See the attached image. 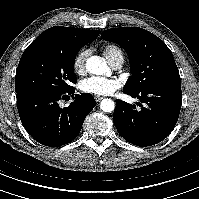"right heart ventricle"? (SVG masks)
<instances>
[{
    "label": "right heart ventricle",
    "mask_w": 199,
    "mask_h": 199,
    "mask_svg": "<svg viewBox=\"0 0 199 199\" xmlns=\"http://www.w3.org/2000/svg\"><path fill=\"white\" fill-rule=\"evenodd\" d=\"M103 54L106 59L112 64L117 58H123L122 50L116 45H107L103 48Z\"/></svg>",
    "instance_id": "e07e8e85"
}]
</instances>
